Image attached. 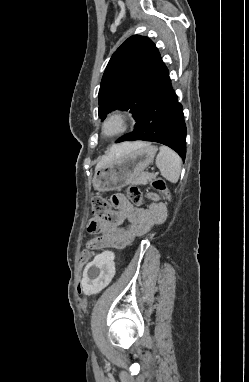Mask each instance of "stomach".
<instances>
[{
  "label": "stomach",
  "instance_id": "1",
  "mask_svg": "<svg viewBox=\"0 0 249 382\" xmlns=\"http://www.w3.org/2000/svg\"><path fill=\"white\" fill-rule=\"evenodd\" d=\"M157 148L149 143L118 157L106 166L97 169L93 177V187L97 191H111L130 184L133 179L153 162Z\"/></svg>",
  "mask_w": 249,
  "mask_h": 382
}]
</instances>
